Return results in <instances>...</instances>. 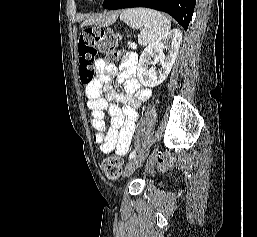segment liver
I'll list each match as a JSON object with an SVG mask.
<instances>
[{"label":"liver","mask_w":257,"mask_h":237,"mask_svg":"<svg viewBox=\"0 0 257 237\" xmlns=\"http://www.w3.org/2000/svg\"><path fill=\"white\" fill-rule=\"evenodd\" d=\"M118 17V13H109L101 18H97L96 20L94 19H89L87 21L84 22V24H88V23H91V22H97V23H104V24H112L116 21Z\"/></svg>","instance_id":"6515ba94"}]
</instances>
